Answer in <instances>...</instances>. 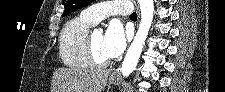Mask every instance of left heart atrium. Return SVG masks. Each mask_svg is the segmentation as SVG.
<instances>
[{
  "label": "left heart atrium",
  "instance_id": "left-heart-atrium-1",
  "mask_svg": "<svg viewBox=\"0 0 225 92\" xmlns=\"http://www.w3.org/2000/svg\"><path fill=\"white\" fill-rule=\"evenodd\" d=\"M128 33L121 22L113 20L109 23L103 37V52L108 59L118 57L125 49Z\"/></svg>",
  "mask_w": 225,
  "mask_h": 92
}]
</instances>
